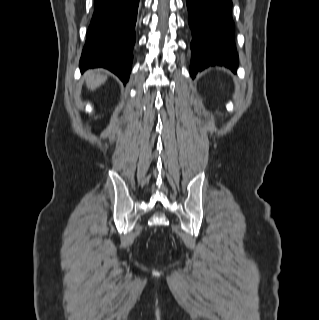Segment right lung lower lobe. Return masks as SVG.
<instances>
[{"label": "right lung lower lobe", "instance_id": "right-lung-lower-lobe-1", "mask_svg": "<svg viewBox=\"0 0 319 320\" xmlns=\"http://www.w3.org/2000/svg\"><path fill=\"white\" fill-rule=\"evenodd\" d=\"M80 69L103 67L125 84L129 79L135 43L139 0H94Z\"/></svg>", "mask_w": 319, "mask_h": 320}]
</instances>
